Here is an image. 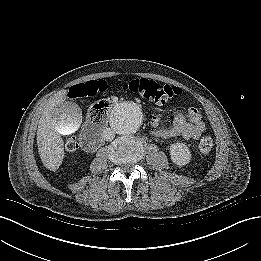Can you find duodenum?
I'll use <instances>...</instances> for the list:
<instances>
[{"label": "duodenum", "mask_w": 261, "mask_h": 261, "mask_svg": "<svg viewBox=\"0 0 261 261\" xmlns=\"http://www.w3.org/2000/svg\"><path fill=\"white\" fill-rule=\"evenodd\" d=\"M102 143V135L87 129L83 132L81 136V145L87 152H93L96 150Z\"/></svg>", "instance_id": "duodenum-1"}]
</instances>
